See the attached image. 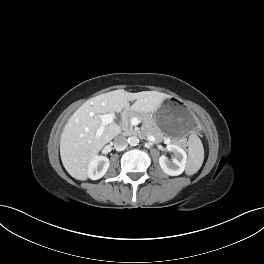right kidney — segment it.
Returning a JSON list of instances; mask_svg holds the SVG:
<instances>
[{"label":"right kidney","mask_w":264,"mask_h":264,"mask_svg":"<svg viewBox=\"0 0 264 264\" xmlns=\"http://www.w3.org/2000/svg\"><path fill=\"white\" fill-rule=\"evenodd\" d=\"M109 164V159L107 157L95 156L88 164V177L92 180L102 178L106 174Z\"/></svg>","instance_id":"ca27d5eb"}]
</instances>
